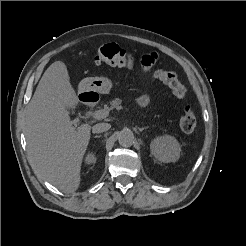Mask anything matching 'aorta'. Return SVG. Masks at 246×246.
Listing matches in <instances>:
<instances>
[{
    "label": "aorta",
    "instance_id": "762f6f07",
    "mask_svg": "<svg viewBox=\"0 0 246 246\" xmlns=\"http://www.w3.org/2000/svg\"><path fill=\"white\" fill-rule=\"evenodd\" d=\"M118 142L121 146H131L134 142V134L131 130L124 129L118 134Z\"/></svg>",
    "mask_w": 246,
    "mask_h": 246
}]
</instances>
